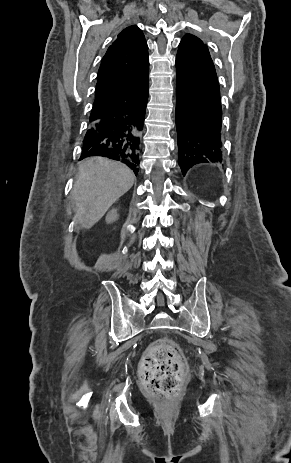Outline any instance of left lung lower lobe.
<instances>
[{
  "instance_id": "left-lung-lower-lobe-1",
  "label": "left lung lower lobe",
  "mask_w": 291,
  "mask_h": 463,
  "mask_svg": "<svg viewBox=\"0 0 291 463\" xmlns=\"http://www.w3.org/2000/svg\"><path fill=\"white\" fill-rule=\"evenodd\" d=\"M178 164L182 174L200 163H223L218 86L176 71Z\"/></svg>"
}]
</instances>
